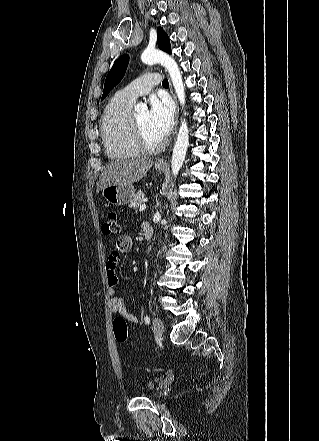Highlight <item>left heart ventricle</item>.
<instances>
[{"mask_svg": "<svg viewBox=\"0 0 319 441\" xmlns=\"http://www.w3.org/2000/svg\"><path fill=\"white\" fill-rule=\"evenodd\" d=\"M135 117H136V120H137L141 130H142V133H143L145 139L149 143L156 144L162 140V139L158 138L154 134V132L152 131L150 123H149V117H148L147 112L139 113Z\"/></svg>", "mask_w": 319, "mask_h": 441, "instance_id": "1", "label": "left heart ventricle"}]
</instances>
